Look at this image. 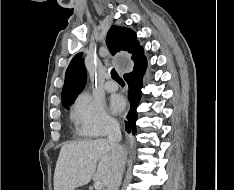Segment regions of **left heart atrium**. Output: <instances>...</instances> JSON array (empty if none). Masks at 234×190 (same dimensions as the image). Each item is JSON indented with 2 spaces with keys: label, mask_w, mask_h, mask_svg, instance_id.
<instances>
[{
  "label": "left heart atrium",
  "mask_w": 234,
  "mask_h": 190,
  "mask_svg": "<svg viewBox=\"0 0 234 190\" xmlns=\"http://www.w3.org/2000/svg\"><path fill=\"white\" fill-rule=\"evenodd\" d=\"M111 106L115 112H119V111L123 110V108L125 106V102H124L122 97L115 96L111 101Z\"/></svg>",
  "instance_id": "left-heart-atrium-1"
}]
</instances>
